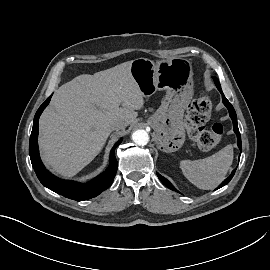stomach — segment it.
<instances>
[{
    "instance_id": "obj_1",
    "label": "stomach",
    "mask_w": 270,
    "mask_h": 270,
    "mask_svg": "<svg viewBox=\"0 0 270 270\" xmlns=\"http://www.w3.org/2000/svg\"><path fill=\"white\" fill-rule=\"evenodd\" d=\"M131 75L144 96L165 90L160 107L149 118L156 133L157 147L171 153L185 141L184 111L193 94V70L184 58L163 59L158 62L146 58L132 61Z\"/></svg>"
}]
</instances>
